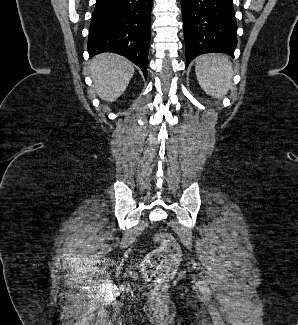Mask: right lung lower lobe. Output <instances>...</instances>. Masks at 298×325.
Wrapping results in <instances>:
<instances>
[{"mask_svg":"<svg viewBox=\"0 0 298 325\" xmlns=\"http://www.w3.org/2000/svg\"><path fill=\"white\" fill-rule=\"evenodd\" d=\"M153 0H96L88 37L90 57L114 52L139 66L146 78Z\"/></svg>","mask_w":298,"mask_h":325,"instance_id":"right-lung-lower-lobe-1","label":"right lung lower lobe"}]
</instances>
